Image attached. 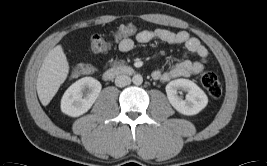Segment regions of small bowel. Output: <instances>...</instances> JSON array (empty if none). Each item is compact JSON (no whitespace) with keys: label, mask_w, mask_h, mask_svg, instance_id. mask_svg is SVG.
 <instances>
[{"label":"small bowel","mask_w":267,"mask_h":166,"mask_svg":"<svg viewBox=\"0 0 267 166\" xmlns=\"http://www.w3.org/2000/svg\"><path fill=\"white\" fill-rule=\"evenodd\" d=\"M153 40L183 46L187 53L196 55L197 61L183 60L173 64L167 71H153L152 78L160 82H169L177 78H188L200 73L207 62L208 50L195 37L190 36L186 31L173 32L168 29L142 30L134 35V40L131 35L126 38L118 39V49L122 53H128L133 50L135 42L148 43Z\"/></svg>","instance_id":"1"}]
</instances>
